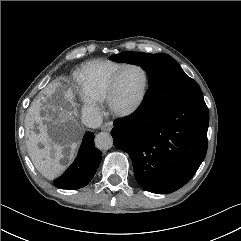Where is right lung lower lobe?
Segmentation results:
<instances>
[{
  "label": "right lung lower lobe",
  "instance_id": "1",
  "mask_svg": "<svg viewBox=\"0 0 241 241\" xmlns=\"http://www.w3.org/2000/svg\"><path fill=\"white\" fill-rule=\"evenodd\" d=\"M102 153L94 145V134H85L78 156L65 173L55 180L60 189H79L86 186L95 175Z\"/></svg>",
  "mask_w": 241,
  "mask_h": 241
}]
</instances>
